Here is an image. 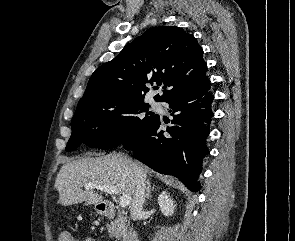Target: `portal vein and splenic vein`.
Here are the masks:
<instances>
[{
    "instance_id": "1",
    "label": "portal vein and splenic vein",
    "mask_w": 295,
    "mask_h": 241,
    "mask_svg": "<svg viewBox=\"0 0 295 241\" xmlns=\"http://www.w3.org/2000/svg\"><path fill=\"white\" fill-rule=\"evenodd\" d=\"M84 188L86 190L96 188L98 190L104 191L105 193L113 194V195L119 193V190L116 186H105V185L101 186L96 184H87L84 186ZM131 200L132 198L130 195H123L120 197L119 205L123 208L127 207L130 204Z\"/></svg>"
}]
</instances>
